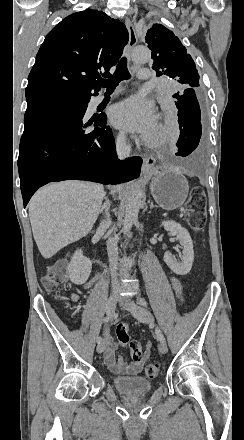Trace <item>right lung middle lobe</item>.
I'll use <instances>...</instances> for the list:
<instances>
[{"instance_id":"1","label":"right lung middle lobe","mask_w":244,"mask_h":440,"mask_svg":"<svg viewBox=\"0 0 244 440\" xmlns=\"http://www.w3.org/2000/svg\"><path fill=\"white\" fill-rule=\"evenodd\" d=\"M27 105L34 103H50L69 106L74 109H83L87 107V102L89 99L84 98H73V97H38L26 99Z\"/></svg>"}]
</instances>
